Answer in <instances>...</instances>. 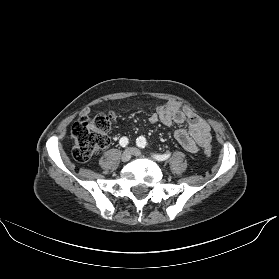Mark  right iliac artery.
Here are the masks:
<instances>
[{"label": "right iliac artery", "instance_id": "obj_1", "mask_svg": "<svg viewBox=\"0 0 279 279\" xmlns=\"http://www.w3.org/2000/svg\"><path fill=\"white\" fill-rule=\"evenodd\" d=\"M129 141H128V138L127 137H122L119 141V144L122 146V147H126L128 145Z\"/></svg>", "mask_w": 279, "mask_h": 279}]
</instances>
